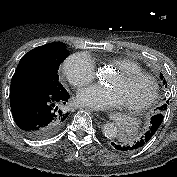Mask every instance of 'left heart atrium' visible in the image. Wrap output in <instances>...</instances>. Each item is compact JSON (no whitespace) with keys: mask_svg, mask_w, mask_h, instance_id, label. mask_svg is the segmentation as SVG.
Masks as SVG:
<instances>
[{"mask_svg":"<svg viewBox=\"0 0 177 177\" xmlns=\"http://www.w3.org/2000/svg\"><path fill=\"white\" fill-rule=\"evenodd\" d=\"M79 103L95 109H108L123 105L119 92L111 87L92 85L77 95Z\"/></svg>","mask_w":177,"mask_h":177,"instance_id":"obj_1","label":"left heart atrium"}]
</instances>
